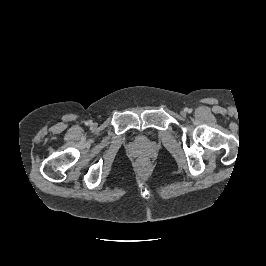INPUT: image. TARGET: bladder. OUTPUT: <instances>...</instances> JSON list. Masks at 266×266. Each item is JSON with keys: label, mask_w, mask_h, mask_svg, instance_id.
Wrapping results in <instances>:
<instances>
[{"label": "bladder", "mask_w": 266, "mask_h": 266, "mask_svg": "<svg viewBox=\"0 0 266 266\" xmlns=\"http://www.w3.org/2000/svg\"><path fill=\"white\" fill-rule=\"evenodd\" d=\"M139 140L142 142H146V141H148V138L143 136V137H140Z\"/></svg>", "instance_id": "obj_1"}]
</instances>
